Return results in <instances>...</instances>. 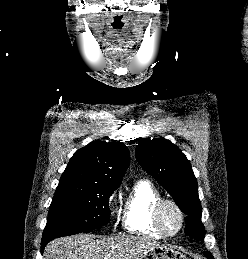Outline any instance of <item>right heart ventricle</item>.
Wrapping results in <instances>:
<instances>
[{
	"label": "right heart ventricle",
	"mask_w": 248,
	"mask_h": 259,
	"mask_svg": "<svg viewBox=\"0 0 248 259\" xmlns=\"http://www.w3.org/2000/svg\"><path fill=\"white\" fill-rule=\"evenodd\" d=\"M161 198L160 191L153 183L145 179L137 181L124 200L122 210L124 229L130 233L154 238L163 237L152 219L153 208Z\"/></svg>",
	"instance_id": "right-heart-ventricle-1"
}]
</instances>
